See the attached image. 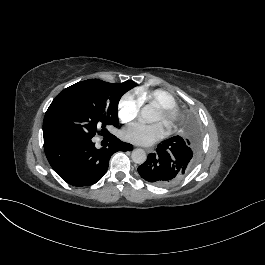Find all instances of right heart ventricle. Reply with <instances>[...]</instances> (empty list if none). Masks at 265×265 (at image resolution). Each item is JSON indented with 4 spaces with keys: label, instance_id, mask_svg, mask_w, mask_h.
Segmentation results:
<instances>
[{
    "label": "right heart ventricle",
    "instance_id": "right-heart-ventricle-1",
    "mask_svg": "<svg viewBox=\"0 0 265 265\" xmlns=\"http://www.w3.org/2000/svg\"><path fill=\"white\" fill-rule=\"evenodd\" d=\"M137 96L142 104L147 102L154 105L157 109L162 106H176L175 99L171 94L163 90L147 91L139 90Z\"/></svg>",
    "mask_w": 265,
    "mask_h": 265
}]
</instances>
